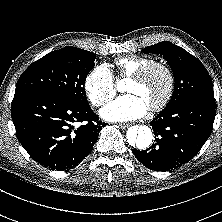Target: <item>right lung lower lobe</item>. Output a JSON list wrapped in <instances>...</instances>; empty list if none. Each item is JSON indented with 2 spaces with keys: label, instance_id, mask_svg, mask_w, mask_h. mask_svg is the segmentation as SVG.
<instances>
[{
  "label": "right lung lower lobe",
  "instance_id": "98d812e1",
  "mask_svg": "<svg viewBox=\"0 0 222 222\" xmlns=\"http://www.w3.org/2000/svg\"><path fill=\"white\" fill-rule=\"evenodd\" d=\"M11 116L17 138L32 159L58 171L80 163L107 124L89 104L43 92H15ZM76 123L82 125L75 127Z\"/></svg>",
  "mask_w": 222,
  "mask_h": 222
}]
</instances>
